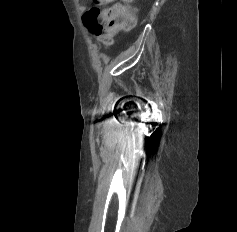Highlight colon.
Listing matches in <instances>:
<instances>
[{
    "label": "colon",
    "mask_w": 237,
    "mask_h": 232,
    "mask_svg": "<svg viewBox=\"0 0 237 232\" xmlns=\"http://www.w3.org/2000/svg\"><path fill=\"white\" fill-rule=\"evenodd\" d=\"M113 0H93L95 6L83 15L85 26L102 43L109 47L119 32L131 30L137 21L136 10L131 6L133 0H122L106 8L101 6Z\"/></svg>",
    "instance_id": "1"
}]
</instances>
